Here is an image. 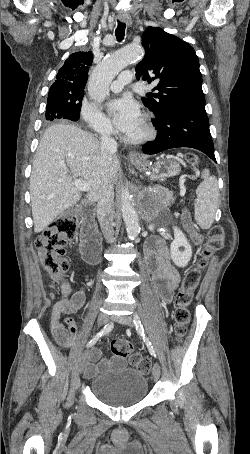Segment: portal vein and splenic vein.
Here are the masks:
<instances>
[{
    "label": "portal vein and splenic vein",
    "instance_id": "obj_1",
    "mask_svg": "<svg viewBox=\"0 0 250 454\" xmlns=\"http://www.w3.org/2000/svg\"><path fill=\"white\" fill-rule=\"evenodd\" d=\"M73 185L82 192H87L89 190V184L83 180L75 179Z\"/></svg>",
    "mask_w": 250,
    "mask_h": 454
}]
</instances>
